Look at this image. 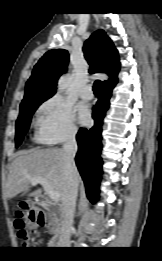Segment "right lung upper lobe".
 <instances>
[{
	"label": "right lung upper lobe",
	"instance_id": "cb5924a9",
	"mask_svg": "<svg viewBox=\"0 0 162 261\" xmlns=\"http://www.w3.org/2000/svg\"><path fill=\"white\" fill-rule=\"evenodd\" d=\"M83 52L89 63L90 73H106L109 79L102 83V89L113 88L120 70L118 51L104 30L95 31L85 41ZM69 54L64 49L46 52L33 68L26 83L23 100L39 96H53L61 74L65 73Z\"/></svg>",
	"mask_w": 162,
	"mask_h": 261
}]
</instances>
